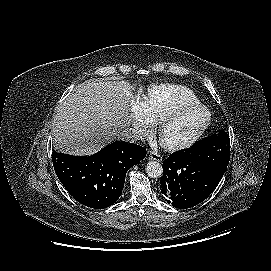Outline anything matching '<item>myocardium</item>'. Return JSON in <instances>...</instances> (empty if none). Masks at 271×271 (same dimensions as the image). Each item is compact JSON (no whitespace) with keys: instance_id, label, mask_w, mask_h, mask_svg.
Wrapping results in <instances>:
<instances>
[{"instance_id":"1","label":"myocardium","mask_w":271,"mask_h":271,"mask_svg":"<svg viewBox=\"0 0 271 271\" xmlns=\"http://www.w3.org/2000/svg\"><path fill=\"white\" fill-rule=\"evenodd\" d=\"M196 110H202L205 112V120L202 122V124L196 129V131L191 134L188 138L181 140V141H177V142H169L167 140H165L164 138V132L165 129L167 128V126L176 118L187 114L189 112L192 111H196ZM212 120V113L210 111V109L202 104V103H193V104H187L181 107H178L166 114H164L157 122V132H158V136H159V140L161 145L170 151H179L182 149H186L190 146H192L194 143H196L201 137L202 135L205 133V131L208 129L210 123Z\"/></svg>"}]
</instances>
